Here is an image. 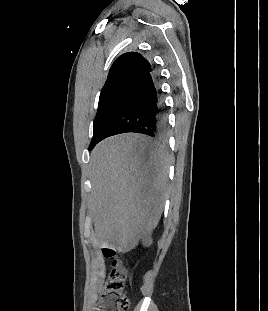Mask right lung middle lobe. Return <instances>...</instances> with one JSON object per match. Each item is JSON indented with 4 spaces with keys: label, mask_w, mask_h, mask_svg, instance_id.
<instances>
[{
    "label": "right lung middle lobe",
    "mask_w": 268,
    "mask_h": 311,
    "mask_svg": "<svg viewBox=\"0 0 268 311\" xmlns=\"http://www.w3.org/2000/svg\"><path fill=\"white\" fill-rule=\"evenodd\" d=\"M136 84L124 85L99 98L97 115L93 124V138L90 147H94L108 125L127 104L133 95Z\"/></svg>",
    "instance_id": "obj_1"
}]
</instances>
